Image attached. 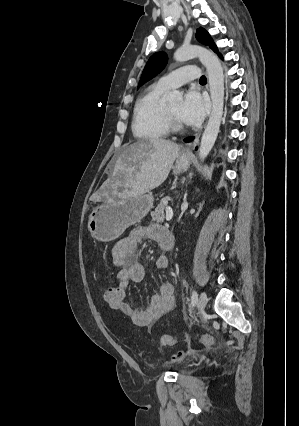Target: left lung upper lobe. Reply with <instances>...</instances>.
I'll return each mask as SVG.
<instances>
[{"instance_id": "5c2ea615", "label": "left lung upper lobe", "mask_w": 299, "mask_h": 426, "mask_svg": "<svg viewBox=\"0 0 299 426\" xmlns=\"http://www.w3.org/2000/svg\"><path fill=\"white\" fill-rule=\"evenodd\" d=\"M196 38L199 42H201L204 45L209 46L210 48H212L215 52L218 51L216 45L214 44L212 38L210 37L209 33L203 29V28H198L197 32H196ZM167 63V56L164 52H157L155 54H153L144 70L139 82V86L142 85L144 82L150 80L152 77H154L155 75H157L159 72H161L163 70V68L165 67Z\"/></svg>"}]
</instances>
